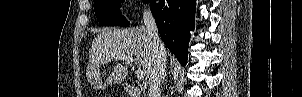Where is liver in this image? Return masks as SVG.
Masks as SVG:
<instances>
[{
  "mask_svg": "<svg viewBox=\"0 0 302 97\" xmlns=\"http://www.w3.org/2000/svg\"><path fill=\"white\" fill-rule=\"evenodd\" d=\"M121 55L134 58L142 67L146 78H149L152 50L150 38L144 26L128 29L104 28L94 38L86 72L94 89L98 90L105 85L121 83L126 78L127 66L118 63L113 67L106 83L103 85L101 81L100 68Z\"/></svg>",
  "mask_w": 302,
  "mask_h": 97,
  "instance_id": "6515ba94",
  "label": "liver"
}]
</instances>
